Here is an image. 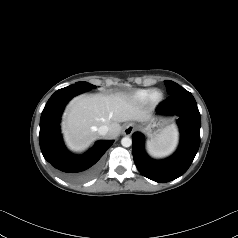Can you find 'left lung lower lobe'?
I'll return each instance as SVG.
<instances>
[{
	"mask_svg": "<svg viewBox=\"0 0 238 238\" xmlns=\"http://www.w3.org/2000/svg\"><path fill=\"white\" fill-rule=\"evenodd\" d=\"M158 115H177L181 133L178 150L165 160L150 158L144 149V136L135 132L132 135L133 158L139 172L155 181L169 182L183 175L191 165L200 145V113L192 94L180 89L171 94L156 108Z\"/></svg>",
	"mask_w": 238,
	"mask_h": 238,
	"instance_id": "left-lung-lower-lobe-1",
	"label": "left lung lower lobe"
}]
</instances>
